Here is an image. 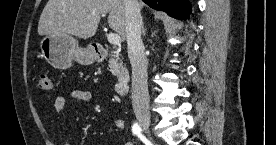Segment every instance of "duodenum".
Listing matches in <instances>:
<instances>
[{
  "mask_svg": "<svg viewBox=\"0 0 276 145\" xmlns=\"http://www.w3.org/2000/svg\"><path fill=\"white\" fill-rule=\"evenodd\" d=\"M94 52L99 60H103L107 56V50L103 46H95L94 47ZM130 80V72L128 69L124 67H120L118 72H117V82H116V87L115 90L119 95H124L127 90V85Z\"/></svg>",
  "mask_w": 276,
  "mask_h": 145,
  "instance_id": "duodenum-1",
  "label": "duodenum"
}]
</instances>
